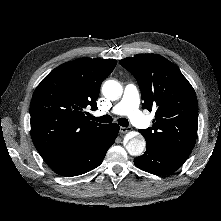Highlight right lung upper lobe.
<instances>
[{
	"mask_svg": "<svg viewBox=\"0 0 221 221\" xmlns=\"http://www.w3.org/2000/svg\"><path fill=\"white\" fill-rule=\"evenodd\" d=\"M116 63L76 59L52 70L37 86L30 104L31 137L47 164L85 150L98 139L106 125L89 121L84 110L97 109L101 83Z\"/></svg>",
	"mask_w": 221,
	"mask_h": 221,
	"instance_id": "1",
	"label": "right lung upper lobe"
}]
</instances>
